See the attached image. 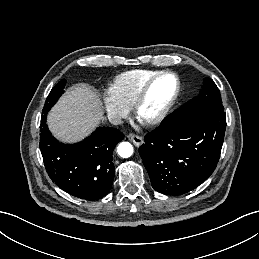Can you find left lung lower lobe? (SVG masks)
<instances>
[{"instance_id":"obj_1","label":"left lung lower lobe","mask_w":259,"mask_h":259,"mask_svg":"<svg viewBox=\"0 0 259 259\" xmlns=\"http://www.w3.org/2000/svg\"><path fill=\"white\" fill-rule=\"evenodd\" d=\"M225 129L224 110L201 109L149 132L139 154L152 187L165 195L197 188L216 168Z\"/></svg>"}]
</instances>
